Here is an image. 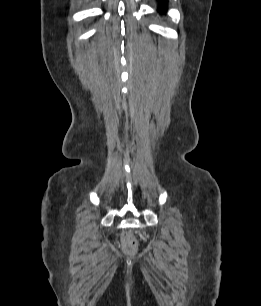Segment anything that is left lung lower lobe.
<instances>
[{
  "label": "left lung lower lobe",
  "mask_w": 261,
  "mask_h": 306,
  "mask_svg": "<svg viewBox=\"0 0 261 306\" xmlns=\"http://www.w3.org/2000/svg\"><path fill=\"white\" fill-rule=\"evenodd\" d=\"M161 6L159 7V9L163 12L166 9V0H159Z\"/></svg>",
  "instance_id": "0a47b994"
}]
</instances>
